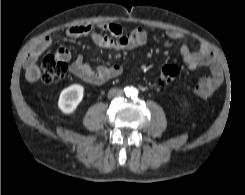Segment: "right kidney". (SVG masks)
Here are the masks:
<instances>
[{
  "instance_id": "right-kidney-1",
  "label": "right kidney",
  "mask_w": 245,
  "mask_h": 195,
  "mask_svg": "<svg viewBox=\"0 0 245 195\" xmlns=\"http://www.w3.org/2000/svg\"><path fill=\"white\" fill-rule=\"evenodd\" d=\"M84 87L79 84H73L60 93L58 107L64 114L73 113L83 99Z\"/></svg>"
}]
</instances>
